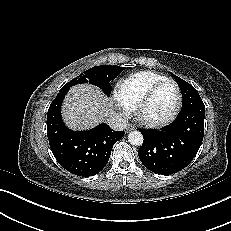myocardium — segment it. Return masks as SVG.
Here are the masks:
<instances>
[{"mask_svg": "<svg viewBox=\"0 0 231 231\" xmlns=\"http://www.w3.org/2000/svg\"><path fill=\"white\" fill-rule=\"evenodd\" d=\"M165 83L173 84L175 89H176V103H175L172 111L167 116H165L164 118H161V119H151V118L146 117L143 112H144V109H145L148 101L150 100V98L152 97L154 92L161 85H163ZM181 102H182V94H181V90H180V87L177 84V82L171 78H164V79L160 80L159 82H157L156 84H154L153 86H151L145 92V94L142 96V98L140 99V101L136 105L134 114H135L136 119L141 124H143L145 126L153 127V128L165 126L176 117V115L178 114V111L180 109Z\"/></svg>", "mask_w": 231, "mask_h": 231, "instance_id": "obj_1", "label": "myocardium"}]
</instances>
